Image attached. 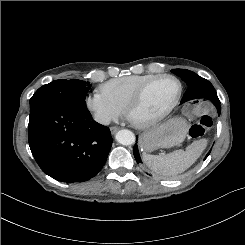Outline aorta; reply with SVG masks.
<instances>
[{
    "mask_svg": "<svg viewBox=\"0 0 245 245\" xmlns=\"http://www.w3.org/2000/svg\"><path fill=\"white\" fill-rule=\"evenodd\" d=\"M118 143L122 145H132L135 142V135L133 132L127 129L120 130L115 136Z\"/></svg>",
    "mask_w": 245,
    "mask_h": 245,
    "instance_id": "1",
    "label": "aorta"
}]
</instances>
